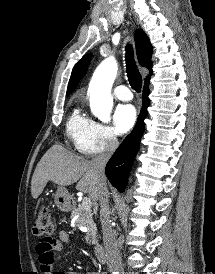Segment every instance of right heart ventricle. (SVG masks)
Instances as JSON below:
<instances>
[{
    "label": "right heart ventricle",
    "instance_id": "1",
    "mask_svg": "<svg viewBox=\"0 0 215 274\" xmlns=\"http://www.w3.org/2000/svg\"><path fill=\"white\" fill-rule=\"evenodd\" d=\"M91 126L92 120L88 118L79 107L73 109L66 124V133L76 148L82 144Z\"/></svg>",
    "mask_w": 215,
    "mask_h": 274
}]
</instances>
